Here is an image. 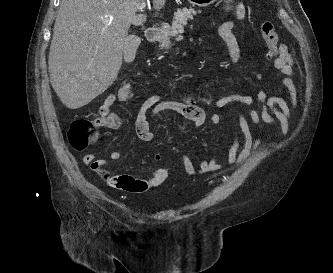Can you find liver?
I'll use <instances>...</instances> for the list:
<instances>
[{
    "instance_id": "obj_1",
    "label": "liver",
    "mask_w": 333,
    "mask_h": 273,
    "mask_svg": "<svg viewBox=\"0 0 333 273\" xmlns=\"http://www.w3.org/2000/svg\"><path fill=\"white\" fill-rule=\"evenodd\" d=\"M144 0H62L50 45V82L69 109L83 107L117 79L131 24L146 21L136 14ZM166 0H153L160 10Z\"/></svg>"
}]
</instances>
